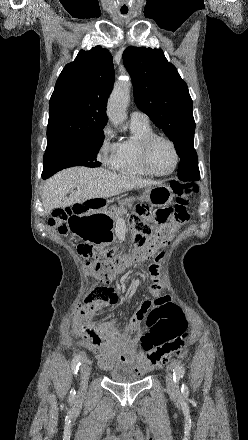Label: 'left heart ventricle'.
Returning <instances> with one entry per match:
<instances>
[{
    "instance_id": "left-heart-ventricle-1",
    "label": "left heart ventricle",
    "mask_w": 248,
    "mask_h": 440,
    "mask_svg": "<svg viewBox=\"0 0 248 440\" xmlns=\"http://www.w3.org/2000/svg\"><path fill=\"white\" fill-rule=\"evenodd\" d=\"M175 157L169 144L163 141L157 142L150 154L152 167L158 172H167L174 165Z\"/></svg>"
}]
</instances>
